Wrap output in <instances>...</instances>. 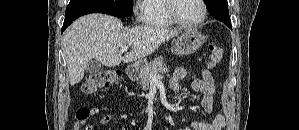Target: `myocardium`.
<instances>
[{
	"mask_svg": "<svg viewBox=\"0 0 299 130\" xmlns=\"http://www.w3.org/2000/svg\"><path fill=\"white\" fill-rule=\"evenodd\" d=\"M176 1L177 0H168L167 1V9H168L169 16L176 24L183 26V27L191 28V27L199 26L205 20V18L207 16V6H206V3L204 0H198L201 5V8H202L201 16L197 20L191 21V22L184 21L178 17V15L175 11V2Z\"/></svg>",
	"mask_w": 299,
	"mask_h": 130,
	"instance_id": "f54148a6",
	"label": "myocardium"
}]
</instances>
